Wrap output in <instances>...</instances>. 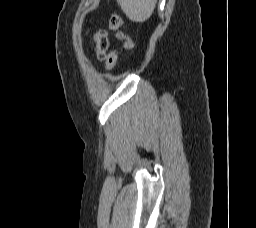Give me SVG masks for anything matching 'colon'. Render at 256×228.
<instances>
[{"mask_svg":"<svg viewBox=\"0 0 256 228\" xmlns=\"http://www.w3.org/2000/svg\"><path fill=\"white\" fill-rule=\"evenodd\" d=\"M123 19L119 14H112L109 19V28L115 33L116 38L123 41V49H129L132 46L131 39L122 30ZM95 41V52L97 59L105 61L106 71H111L115 68L119 50H113L109 54H106L108 48V37L107 33L103 29H99L94 35Z\"/></svg>","mask_w":256,"mask_h":228,"instance_id":"colon-1","label":"colon"}]
</instances>
